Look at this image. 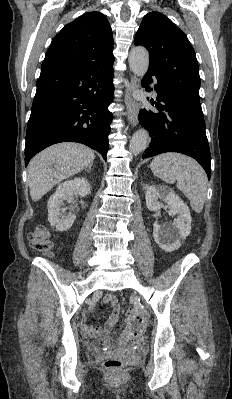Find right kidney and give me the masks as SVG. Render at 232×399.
Instances as JSON below:
<instances>
[{"label":"right kidney","mask_w":232,"mask_h":399,"mask_svg":"<svg viewBox=\"0 0 232 399\" xmlns=\"http://www.w3.org/2000/svg\"><path fill=\"white\" fill-rule=\"evenodd\" d=\"M74 194H79L81 198L90 194V184L87 180L75 178V180H68V182L60 184L55 194L50 196L48 200V219L56 231H67L76 219L75 213L66 215L65 211L61 209L64 200L70 201Z\"/></svg>","instance_id":"ca27d5eb"}]
</instances>
